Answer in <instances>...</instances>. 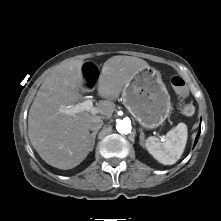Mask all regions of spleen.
<instances>
[{
	"label": "spleen",
	"instance_id": "3e777b00",
	"mask_svg": "<svg viewBox=\"0 0 221 221\" xmlns=\"http://www.w3.org/2000/svg\"><path fill=\"white\" fill-rule=\"evenodd\" d=\"M187 137V126L184 123H179L167 132L163 141L154 136L148 137L145 147L158 162L164 165H172L182 156Z\"/></svg>",
	"mask_w": 221,
	"mask_h": 221
}]
</instances>
